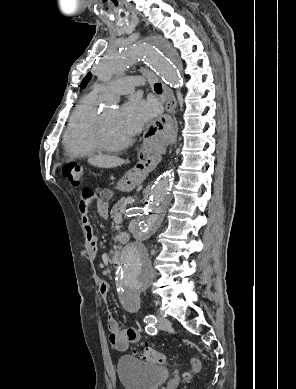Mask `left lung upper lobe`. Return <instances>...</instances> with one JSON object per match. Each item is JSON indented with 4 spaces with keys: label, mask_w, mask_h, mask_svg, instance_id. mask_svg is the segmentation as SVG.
Here are the masks:
<instances>
[{
    "label": "left lung upper lobe",
    "mask_w": 296,
    "mask_h": 389,
    "mask_svg": "<svg viewBox=\"0 0 296 389\" xmlns=\"http://www.w3.org/2000/svg\"><path fill=\"white\" fill-rule=\"evenodd\" d=\"M91 76H92L91 73L87 74V76L81 82V85H80L81 88H84L87 85V83L90 80Z\"/></svg>",
    "instance_id": "1"
}]
</instances>
